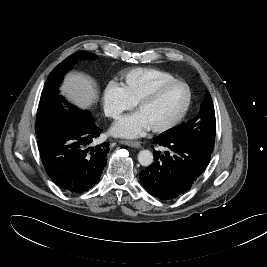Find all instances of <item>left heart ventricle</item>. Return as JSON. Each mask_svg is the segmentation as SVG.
Here are the masks:
<instances>
[{
	"label": "left heart ventricle",
	"instance_id": "b2bd125f",
	"mask_svg": "<svg viewBox=\"0 0 267 267\" xmlns=\"http://www.w3.org/2000/svg\"><path fill=\"white\" fill-rule=\"evenodd\" d=\"M187 99L186 88L172 85L162 93L139 108V112L150 127L166 123L174 119L183 109Z\"/></svg>",
	"mask_w": 267,
	"mask_h": 267
}]
</instances>
